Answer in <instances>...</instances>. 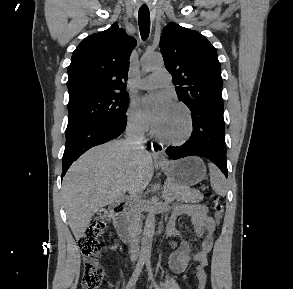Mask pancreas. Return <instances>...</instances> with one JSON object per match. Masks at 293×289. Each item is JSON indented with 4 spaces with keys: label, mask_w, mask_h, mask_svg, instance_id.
<instances>
[{
    "label": "pancreas",
    "mask_w": 293,
    "mask_h": 289,
    "mask_svg": "<svg viewBox=\"0 0 293 289\" xmlns=\"http://www.w3.org/2000/svg\"><path fill=\"white\" fill-rule=\"evenodd\" d=\"M163 197L166 202H173L174 200L197 203L203 200V195L200 191L175 184L173 182H167L164 191Z\"/></svg>",
    "instance_id": "cf45deb5"
}]
</instances>
